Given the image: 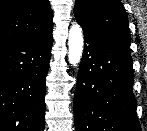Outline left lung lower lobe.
Returning a JSON list of instances; mask_svg holds the SVG:
<instances>
[{
  "mask_svg": "<svg viewBox=\"0 0 147 131\" xmlns=\"http://www.w3.org/2000/svg\"><path fill=\"white\" fill-rule=\"evenodd\" d=\"M130 51L84 32L74 95L76 131H141Z\"/></svg>",
  "mask_w": 147,
  "mask_h": 131,
  "instance_id": "obj_1",
  "label": "left lung lower lobe"
}]
</instances>
